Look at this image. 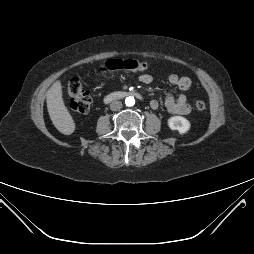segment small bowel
Here are the masks:
<instances>
[{"label":"small bowel","mask_w":254,"mask_h":254,"mask_svg":"<svg viewBox=\"0 0 254 254\" xmlns=\"http://www.w3.org/2000/svg\"><path fill=\"white\" fill-rule=\"evenodd\" d=\"M140 82L143 84H150L153 81V77L149 73H143L139 76ZM168 82L170 85L178 87L182 93L178 94L176 97L169 92L165 98V107L168 112L175 115H187L191 112V106L188 103L185 91L191 87V80L189 77L183 76L179 77L176 74H171L168 76ZM152 109L156 110L159 107L157 100H152L150 102Z\"/></svg>","instance_id":"1"}]
</instances>
